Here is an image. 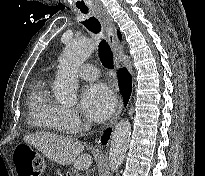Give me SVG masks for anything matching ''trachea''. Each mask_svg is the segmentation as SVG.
Returning a JSON list of instances; mask_svg holds the SVG:
<instances>
[{
	"label": "trachea",
	"instance_id": "obj_1",
	"mask_svg": "<svg viewBox=\"0 0 205 176\" xmlns=\"http://www.w3.org/2000/svg\"><path fill=\"white\" fill-rule=\"evenodd\" d=\"M81 13L85 15V20L82 22L84 26L95 35H100L101 24L99 20L93 16H90L88 14V10L86 9H81ZM99 58L106 68H113V54L108 43L103 38H100Z\"/></svg>",
	"mask_w": 205,
	"mask_h": 176
}]
</instances>
